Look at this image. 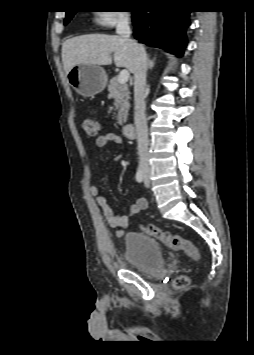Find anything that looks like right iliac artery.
Instances as JSON below:
<instances>
[{
	"label": "right iliac artery",
	"instance_id": "82829eb1",
	"mask_svg": "<svg viewBox=\"0 0 254 355\" xmlns=\"http://www.w3.org/2000/svg\"><path fill=\"white\" fill-rule=\"evenodd\" d=\"M136 181L139 183H141L143 181V172H142L140 166H139L137 173H136Z\"/></svg>",
	"mask_w": 254,
	"mask_h": 355
}]
</instances>
